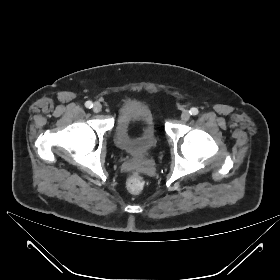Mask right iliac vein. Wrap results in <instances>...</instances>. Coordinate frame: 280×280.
<instances>
[{"mask_svg": "<svg viewBox=\"0 0 280 280\" xmlns=\"http://www.w3.org/2000/svg\"><path fill=\"white\" fill-rule=\"evenodd\" d=\"M101 109H102V105H101L99 102L94 103L93 111H94L95 113L100 112Z\"/></svg>", "mask_w": 280, "mask_h": 280, "instance_id": "1", "label": "right iliac vein"}]
</instances>
